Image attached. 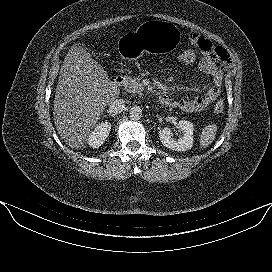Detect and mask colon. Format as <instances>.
<instances>
[{
	"label": "colon",
	"mask_w": 272,
	"mask_h": 272,
	"mask_svg": "<svg viewBox=\"0 0 272 272\" xmlns=\"http://www.w3.org/2000/svg\"><path fill=\"white\" fill-rule=\"evenodd\" d=\"M196 52L192 49H186L181 51L178 54V61L183 63V64H190L193 63L196 60ZM224 111V102L223 100H219L215 106H214V112L216 114H221Z\"/></svg>",
	"instance_id": "colon-1"
}]
</instances>
